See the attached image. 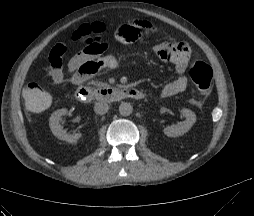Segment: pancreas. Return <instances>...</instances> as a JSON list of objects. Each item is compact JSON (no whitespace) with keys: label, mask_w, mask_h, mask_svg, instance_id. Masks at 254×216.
Returning <instances> with one entry per match:
<instances>
[{"label":"pancreas","mask_w":254,"mask_h":216,"mask_svg":"<svg viewBox=\"0 0 254 216\" xmlns=\"http://www.w3.org/2000/svg\"><path fill=\"white\" fill-rule=\"evenodd\" d=\"M90 84L100 88V87H104V86H107L106 83L104 82H101V81H91Z\"/></svg>","instance_id":"1"}]
</instances>
